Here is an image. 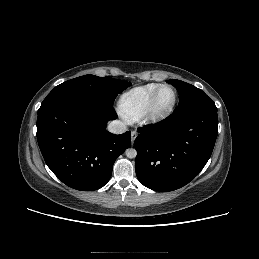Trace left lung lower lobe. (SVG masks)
<instances>
[{
  "label": "left lung lower lobe",
  "mask_w": 259,
  "mask_h": 259,
  "mask_svg": "<svg viewBox=\"0 0 259 259\" xmlns=\"http://www.w3.org/2000/svg\"><path fill=\"white\" fill-rule=\"evenodd\" d=\"M216 107L175 110L139 129L135 139L138 180L155 191H173L193 180L209 160L218 133Z\"/></svg>",
  "instance_id": "0a47b994"
}]
</instances>
